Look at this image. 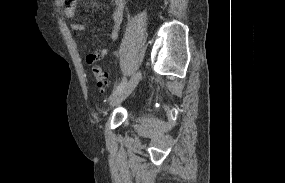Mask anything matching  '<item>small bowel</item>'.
Listing matches in <instances>:
<instances>
[{
    "label": "small bowel",
    "mask_w": 285,
    "mask_h": 183,
    "mask_svg": "<svg viewBox=\"0 0 285 183\" xmlns=\"http://www.w3.org/2000/svg\"><path fill=\"white\" fill-rule=\"evenodd\" d=\"M114 8L111 13V29H110V41L113 43L118 39L122 19L125 11L126 2L125 0H112ZM64 15L67 19H73L75 17V7L72 4H67L64 9ZM71 29L80 33L84 30V25L80 22H72L70 24ZM109 53V49L104 47L101 49L89 52L86 55V61L89 65H93L96 62L102 60Z\"/></svg>",
    "instance_id": "c3829d8e"
}]
</instances>
